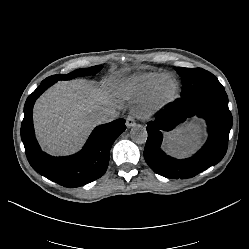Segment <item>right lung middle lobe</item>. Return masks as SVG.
I'll list each match as a JSON object with an SVG mask.
<instances>
[{
    "instance_id": "right-lung-middle-lobe-1",
    "label": "right lung middle lobe",
    "mask_w": 249,
    "mask_h": 249,
    "mask_svg": "<svg viewBox=\"0 0 249 249\" xmlns=\"http://www.w3.org/2000/svg\"><path fill=\"white\" fill-rule=\"evenodd\" d=\"M102 69V65L93 66L90 68L85 69H77L69 74H60V75H53L46 78L43 81H54L57 82L58 80H70L77 76H90L94 75Z\"/></svg>"
}]
</instances>
